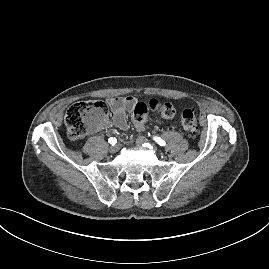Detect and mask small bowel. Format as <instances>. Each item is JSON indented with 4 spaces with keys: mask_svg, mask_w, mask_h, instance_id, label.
Instances as JSON below:
<instances>
[{
    "mask_svg": "<svg viewBox=\"0 0 269 269\" xmlns=\"http://www.w3.org/2000/svg\"><path fill=\"white\" fill-rule=\"evenodd\" d=\"M107 104L112 112V120H105L100 128L112 126L125 131L128 128L126 113L134 109L137 98L134 96L112 97L107 99Z\"/></svg>",
    "mask_w": 269,
    "mask_h": 269,
    "instance_id": "c3829d8e",
    "label": "small bowel"
}]
</instances>
